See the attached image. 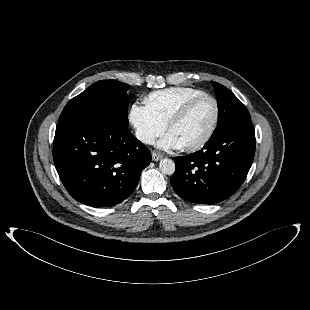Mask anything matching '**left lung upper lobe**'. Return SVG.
I'll use <instances>...</instances> for the list:
<instances>
[{
  "label": "left lung upper lobe",
  "instance_id": "5c2ea615",
  "mask_svg": "<svg viewBox=\"0 0 310 310\" xmlns=\"http://www.w3.org/2000/svg\"><path fill=\"white\" fill-rule=\"evenodd\" d=\"M218 101V124L211 138L246 122L251 117L243 103L225 86L212 81Z\"/></svg>",
  "mask_w": 310,
  "mask_h": 310
}]
</instances>
